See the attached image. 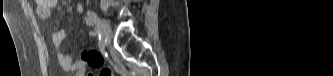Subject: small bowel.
Instances as JSON below:
<instances>
[{"instance_id": "1", "label": "small bowel", "mask_w": 333, "mask_h": 76, "mask_svg": "<svg viewBox=\"0 0 333 76\" xmlns=\"http://www.w3.org/2000/svg\"><path fill=\"white\" fill-rule=\"evenodd\" d=\"M57 2V0H38L36 3L37 14L44 19L50 18ZM78 10L80 12L83 10L80 3L78 4ZM85 22L89 26L93 23L89 17H85ZM89 35L95 36V32L90 31ZM68 39L69 37L66 32V23H63L56 31L53 32L52 45L56 51L58 62L64 70L76 71L77 76H85V71L88 66L94 69L101 68L104 62V56L97 51H91L89 47L81 48L83 56L82 59L77 61H74L72 53L64 54L61 51V47ZM103 70L104 68H101L99 72Z\"/></svg>"}]
</instances>
